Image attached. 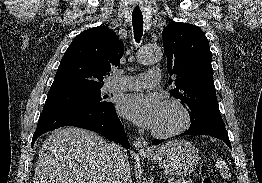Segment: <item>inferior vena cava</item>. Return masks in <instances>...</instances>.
Returning <instances> with one entry per match:
<instances>
[{
	"instance_id": "1",
	"label": "inferior vena cava",
	"mask_w": 262,
	"mask_h": 183,
	"mask_svg": "<svg viewBox=\"0 0 262 183\" xmlns=\"http://www.w3.org/2000/svg\"><path fill=\"white\" fill-rule=\"evenodd\" d=\"M109 166L113 183H132L126 150L119 145L107 147Z\"/></svg>"
}]
</instances>
